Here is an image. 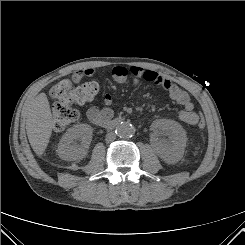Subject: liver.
<instances>
[{
    "label": "liver",
    "instance_id": "1",
    "mask_svg": "<svg viewBox=\"0 0 245 245\" xmlns=\"http://www.w3.org/2000/svg\"><path fill=\"white\" fill-rule=\"evenodd\" d=\"M54 122L48 98L40 93L26 110V132L34 152L41 156L49 143Z\"/></svg>",
    "mask_w": 245,
    "mask_h": 245
}]
</instances>
